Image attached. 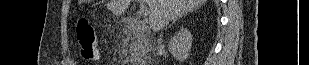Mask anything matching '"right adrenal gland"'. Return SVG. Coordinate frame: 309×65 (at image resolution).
Returning a JSON list of instances; mask_svg holds the SVG:
<instances>
[{"label":"right adrenal gland","instance_id":"2a0ac1e0","mask_svg":"<svg viewBox=\"0 0 309 65\" xmlns=\"http://www.w3.org/2000/svg\"><path fill=\"white\" fill-rule=\"evenodd\" d=\"M181 17H179V18H177V19H175V20H173V22H172V24H170L169 25V28H171L172 27V25L178 20V19H180Z\"/></svg>","mask_w":309,"mask_h":65}]
</instances>
